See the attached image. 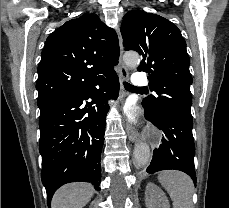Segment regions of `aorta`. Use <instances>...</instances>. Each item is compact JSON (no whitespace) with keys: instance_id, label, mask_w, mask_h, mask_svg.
<instances>
[{"instance_id":"obj_1","label":"aorta","mask_w":229,"mask_h":208,"mask_svg":"<svg viewBox=\"0 0 229 208\" xmlns=\"http://www.w3.org/2000/svg\"><path fill=\"white\" fill-rule=\"evenodd\" d=\"M125 64L132 69H135L140 63V57L137 53H127L124 55ZM134 160L139 168L146 167L150 161V148L146 142L138 141L134 147Z\"/></svg>"}]
</instances>
